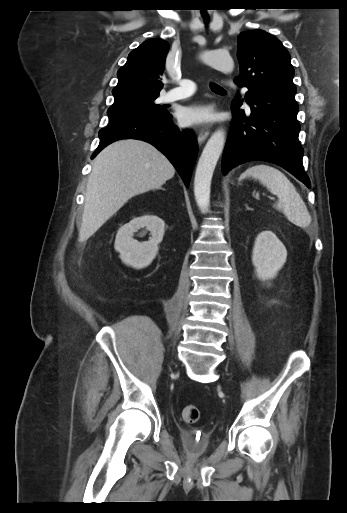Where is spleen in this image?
Returning <instances> with one entry per match:
<instances>
[{
    "label": "spleen",
    "mask_w": 347,
    "mask_h": 513,
    "mask_svg": "<svg viewBox=\"0 0 347 513\" xmlns=\"http://www.w3.org/2000/svg\"><path fill=\"white\" fill-rule=\"evenodd\" d=\"M249 177L259 180L272 194L278 197L275 208L283 212L290 222L303 228L309 226L311 216L307 207L295 186L283 172L273 166L259 164L248 168L241 178Z\"/></svg>",
    "instance_id": "1"
}]
</instances>
